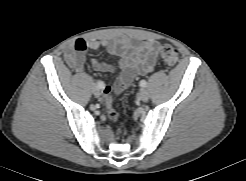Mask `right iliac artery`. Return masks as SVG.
I'll list each match as a JSON object with an SVG mask.
<instances>
[{
  "instance_id": "1",
  "label": "right iliac artery",
  "mask_w": 246,
  "mask_h": 181,
  "mask_svg": "<svg viewBox=\"0 0 246 181\" xmlns=\"http://www.w3.org/2000/svg\"><path fill=\"white\" fill-rule=\"evenodd\" d=\"M97 87L99 88V89H103L104 88V83H102V82H97Z\"/></svg>"
}]
</instances>
